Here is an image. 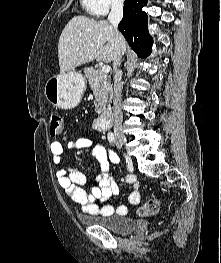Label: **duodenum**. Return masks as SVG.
Instances as JSON below:
<instances>
[{"label": "duodenum", "mask_w": 221, "mask_h": 263, "mask_svg": "<svg viewBox=\"0 0 221 263\" xmlns=\"http://www.w3.org/2000/svg\"><path fill=\"white\" fill-rule=\"evenodd\" d=\"M112 108L109 106L106 111L95 121V128L98 131H106L112 125Z\"/></svg>", "instance_id": "obj_1"}]
</instances>
